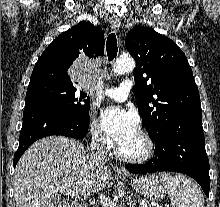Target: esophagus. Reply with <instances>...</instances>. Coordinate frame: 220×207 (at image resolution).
I'll use <instances>...</instances> for the list:
<instances>
[{"label": "esophagus", "mask_w": 220, "mask_h": 207, "mask_svg": "<svg viewBox=\"0 0 220 207\" xmlns=\"http://www.w3.org/2000/svg\"><path fill=\"white\" fill-rule=\"evenodd\" d=\"M110 25L113 30H115V31L119 30L120 19L117 16H111L110 17ZM117 171L119 174L127 175V171L123 167L117 168Z\"/></svg>", "instance_id": "obj_1"}]
</instances>
